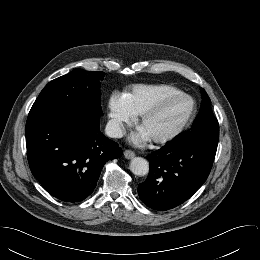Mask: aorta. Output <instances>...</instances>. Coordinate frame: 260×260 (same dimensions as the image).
<instances>
[{
  "label": "aorta",
  "instance_id": "1",
  "mask_svg": "<svg viewBox=\"0 0 260 260\" xmlns=\"http://www.w3.org/2000/svg\"><path fill=\"white\" fill-rule=\"evenodd\" d=\"M130 170L134 175L145 176L149 172V163L142 157H135L130 162Z\"/></svg>",
  "mask_w": 260,
  "mask_h": 260
}]
</instances>
